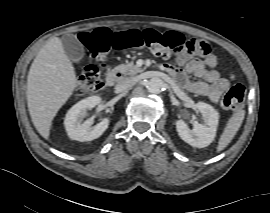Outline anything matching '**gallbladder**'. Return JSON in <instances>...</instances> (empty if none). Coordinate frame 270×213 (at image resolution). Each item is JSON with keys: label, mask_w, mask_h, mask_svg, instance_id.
<instances>
[{"label": "gallbladder", "mask_w": 270, "mask_h": 213, "mask_svg": "<svg viewBox=\"0 0 270 213\" xmlns=\"http://www.w3.org/2000/svg\"><path fill=\"white\" fill-rule=\"evenodd\" d=\"M63 49L69 60L78 62L84 57V47L73 34H66L61 38Z\"/></svg>", "instance_id": "obj_1"}]
</instances>
